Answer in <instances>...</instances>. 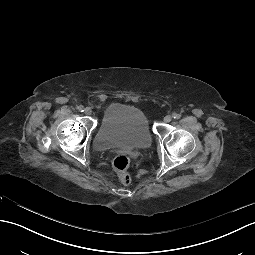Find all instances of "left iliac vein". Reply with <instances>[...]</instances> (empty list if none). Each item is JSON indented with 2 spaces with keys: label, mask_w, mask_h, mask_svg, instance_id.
Masks as SVG:
<instances>
[{
  "label": "left iliac vein",
  "mask_w": 255,
  "mask_h": 255,
  "mask_svg": "<svg viewBox=\"0 0 255 255\" xmlns=\"http://www.w3.org/2000/svg\"><path fill=\"white\" fill-rule=\"evenodd\" d=\"M171 120H172V116H171V115H166V116L164 117V122H165V123H169Z\"/></svg>",
  "instance_id": "left-iliac-vein-1"
}]
</instances>
